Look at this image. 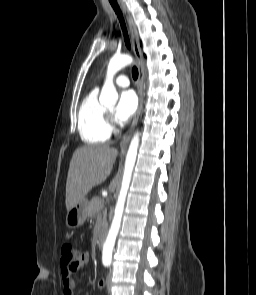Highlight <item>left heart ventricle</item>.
<instances>
[{
    "label": "left heart ventricle",
    "mask_w": 256,
    "mask_h": 295,
    "mask_svg": "<svg viewBox=\"0 0 256 295\" xmlns=\"http://www.w3.org/2000/svg\"><path fill=\"white\" fill-rule=\"evenodd\" d=\"M109 110L112 112L114 110V108H109Z\"/></svg>",
    "instance_id": "1"
}]
</instances>
